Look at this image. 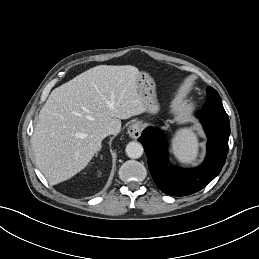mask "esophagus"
I'll return each instance as SVG.
<instances>
[{
	"instance_id": "1",
	"label": "esophagus",
	"mask_w": 259,
	"mask_h": 259,
	"mask_svg": "<svg viewBox=\"0 0 259 259\" xmlns=\"http://www.w3.org/2000/svg\"><path fill=\"white\" fill-rule=\"evenodd\" d=\"M141 125L138 122H133L127 130L128 135L133 138L137 139L141 135Z\"/></svg>"
}]
</instances>
